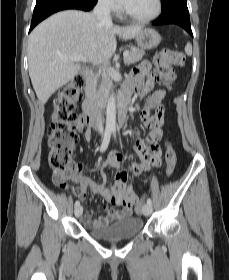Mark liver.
I'll use <instances>...</instances> for the list:
<instances>
[{
  "mask_svg": "<svg viewBox=\"0 0 229 280\" xmlns=\"http://www.w3.org/2000/svg\"><path fill=\"white\" fill-rule=\"evenodd\" d=\"M141 26L119 27L77 10L58 12L40 23L28 40L29 75L38 100L45 104L72 80L81 65L60 56H83L94 64L106 63L116 51V35L132 39Z\"/></svg>",
  "mask_w": 229,
  "mask_h": 280,
  "instance_id": "liver-1",
  "label": "liver"
}]
</instances>
